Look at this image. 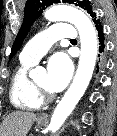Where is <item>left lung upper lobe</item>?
Masks as SVG:
<instances>
[{"label": "left lung upper lobe", "instance_id": "5c2ea615", "mask_svg": "<svg viewBox=\"0 0 117 136\" xmlns=\"http://www.w3.org/2000/svg\"><path fill=\"white\" fill-rule=\"evenodd\" d=\"M62 2L72 3V4H75L76 6H80L81 8L86 10L87 13H89L91 17L93 15H96L89 1L62 0ZM53 3H60V1L59 0H27L25 9H24L23 23L14 41L9 59H11L15 55V53L18 51V49L20 48L23 40L25 39L29 31L31 24L41 15V13L46 7L52 5Z\"/></svg>", "mask_w": 117, "mask_h": 136}]
</instances>
